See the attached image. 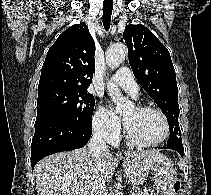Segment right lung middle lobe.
<instances>
[{
    "label": "right lung middle lobe",
    "instance_id": "dd1d6c3e",
    "mask_svg": "<svg viewBox=\"0 0 211 195\" xmlns=\"http://www.w3.org/2000/svg\"><path fill=\"white\" fill-rule=\"evenodd\" d=\"M94 96L85 90L49 89L38 93L35 124L47 119H66L92 123Z\"/></svg>",
    "mask_w": 211,
    "mask_h": 195
}]
</instances>
